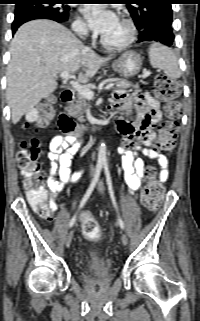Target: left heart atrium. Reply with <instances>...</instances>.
I'll return each instance as SVG.
<instances>
[{
  "label": "left heart atrium",
  "instance_id": "39dd6f15",
  "mask_svg": "<svg viewBox=\"0 0 200 321\" xmlns=\"http://www.w3.org/2000/svg\"><path fill=\"white\" fill-rule=\"evenodd\" d=\"M84 15L89 26L101 35L107 33L118 20V17L113 11L99 5H90L85 7Z\"/></svg>",
  "mask_w": 200,
  "mask_h": 321
}]
</instances>
